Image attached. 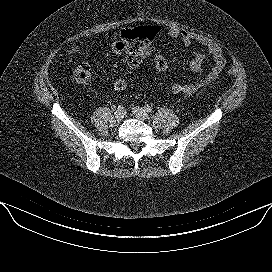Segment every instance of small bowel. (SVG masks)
I'll list each match as a JSON object with an SVG mask.
<instances>
[{
	"mask_svg": "<svg viewBox=\"0 0 272 272\" xmlns=\"http://www.w3.org/2000/svg\"><path fill=\"white\" fill-rule=\"evenodd\" d=\"M168 35L172 38H180L185 47L196 42L205 49V52H195L189 60L190 68L198 74V77L190 83H173L170 88L173 94L195 95L206 89L219 77L226 65L223 48L219 43L177 28H169ZM110 48L113 53L124 55L125 61L131 69L138 68L151 53V47L144 46L142 41L134 36V29L130 28L122 30L119 37L111 41ZM207 56H210L213 61L208 72L204 67Z\"/></svg>",
	"mask_w": 272,
	"mask_h": 272,
	"instance_id": "obj_1",
	"label": "small bowel"
}]
</instances>
